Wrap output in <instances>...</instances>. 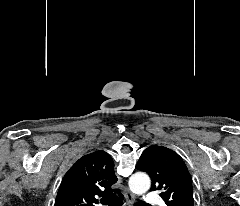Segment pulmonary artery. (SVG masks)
I'll list each match as a JSON object with an SVG mask.
<instances>
[{
    "instance_id": "pulmonary-artery-1",
    "label": "pulmonary artery",
    "mask_w": 240,
    "mask_h": 206,
    "mask_svg": "<svg viewBox=\"0 0 240 206\" xmlns=\"http://www.w3.org/2000/svg\"><path fill=\"white\" fill-rule=\"evenodd\" d=\"M145 201L149 205H155L161 203V198L156 193H148L146 195Z\"/></svg>"
}]
</instances>
